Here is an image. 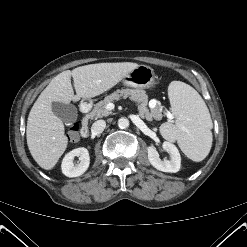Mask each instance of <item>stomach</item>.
Listing matches in <instances>:
<instances>
[{
  "mask_svg": "<svg viewBox=\"0 0 247 247\" xmlns=\"http://www.w3.org/2000/svg\"><path fill=\"white\" fill-rule=\"evenodd\" d=\"M156 83V76L152 68L146 65H139L123 78V84L139 90L153 87Z\"/></svg>",
  "mask_w": 247,
  "mask_h": 247,
  "instance_id": "stomach-1",
  "label": "stomach"
}]
</instances>
